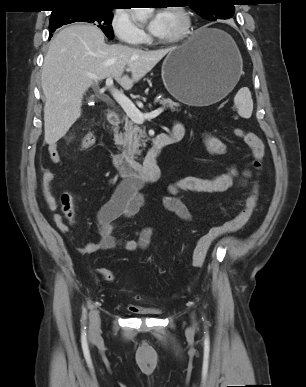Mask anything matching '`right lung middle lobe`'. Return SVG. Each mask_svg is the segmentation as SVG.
Listing matches in <instances>:
<instances>
[{
	"mask_svg": "<svg viewBox=\"0 0 306 387\" xmlns=\"http://www.w3.org/2000/svg\"><path fill=\"white\" fill-rule=\"evenodd\" d=\"M113 8L104 6H74L65 8L59 12L52 13L49 23V31L74 22L93 23L101 28L104 34L113 39L112 19Z\"/></svg>",
	"mask_w": 306,
	"mask_h": 387,
	"instance_id": "dd1d6c3e",
	"label": "right lung middle lobe"
}]
</instances>
